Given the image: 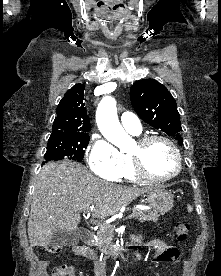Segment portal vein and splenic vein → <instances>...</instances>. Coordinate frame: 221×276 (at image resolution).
I'll return each mask as SVG.
<instances>
[{
	"label": "portal vein and splenic vein",
	"instance_id": "obj_1",
	"mask_svg": "<svg viewBox=\"0 0 221 276\" xmlns=\"http://www.w3.org/2000/svg\"><path fill=\"white\" fill-rule=\"evenodd\" d=\"M88 211H89V209H87V210L84 211V212H88ZM136 216H137V213L133 212V213H131L130 215H128V216L125 218V220L134 218V217H136ZM102 226H105V225H101V227H102Z\"/></svg>",
	"mask_w": 221,
	"mask_h": 276
}]
</instances>
